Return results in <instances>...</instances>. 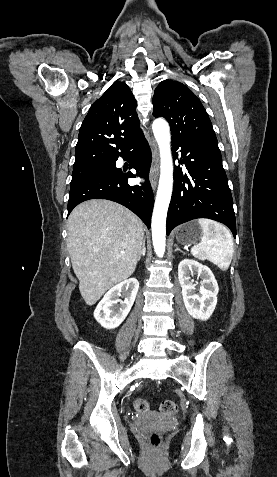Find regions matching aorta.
<instances>
[{
	"label": "aorta",
	"instance_id": "obj_1",
	"mask_svg": "<svg viewBox=\"0 0 277 477\" xmlns=\"http://www.w3.org/2000/svg\"><path fill=\"white\" fill-rule=\"evenodd\" d=\"M152 129L160 151V179L152 215V240L155 253L158 257H163L166 245V217L173 187V162L168 123L164 119H156Z\"/></svg>",
	"mask_w": 277,
	"mask_h": 477
}]
</instances>
